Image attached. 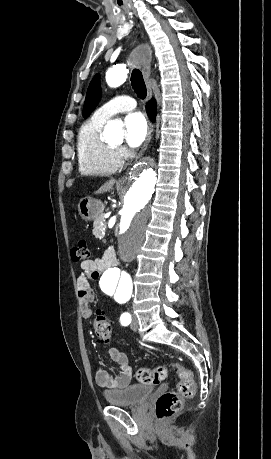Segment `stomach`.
Returning <instances> with one entry per match:
<instances>
[{
	"mask_svg": "<svg viewBox=\"0 0 271 459\" xmlns=\"http://www.w3.org/2000/svg\"><path fill=\"white\" fill-rule=\"evenodd\" d=\"M117 188L121 190V186H118V184ZM103 210L104 206L102 202L94 200V198H82L78 204V212L81 218L86 220V222H90V220H97V218L101 216Z\"/></svg>",
	"mask_w": 271,
	"mask_h": 459,
	"instance_id": "0dacf381",
	"label": "stomach"
}]
</instances>
